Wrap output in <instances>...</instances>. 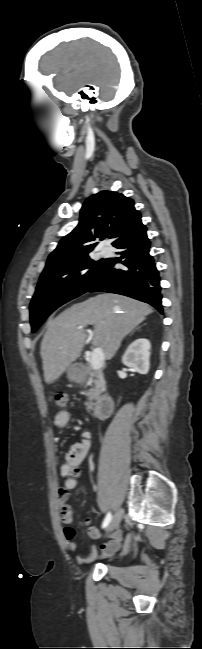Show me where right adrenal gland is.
Instances as JSON below:
<instances>
[{
	"instance_id": "1",
	"label": "right adrenal gland",
	"mask_w": 202,
	"mask_h": 649,
	"mask_svg": "<svg viewBox=\"0 0 202 649\" xmlns=\"http://www.w3.org/2000/svg\"><path fill=\"white\" fill-rule=\"evenodd\" d=\"M137 329H139V327H137V328H135V330H137ZM135 330H133V331H132V332L130 333V335H132V334H133V332H134Z\"/></svg>"
}]
</instances>
